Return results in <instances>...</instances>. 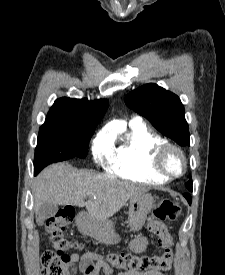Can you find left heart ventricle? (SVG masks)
Returning <instances> with one entry per match:
<instances>
[{"instance_id": "1", "label": "left heart ventricle", "mask_w": 225, "mask_h": 275, "mask_svg": "<svg viewBox=\"0 0 225 275\" xmlns=\"http://www.w3.org/2000/svg\"><path fill=\"white\" fill-rule=\"evenodd\" d=\"M168 168L174 172L180 171L182 168V162L180 157L176 153H171L167 159Z\"/></svg>"}]
</instances>
